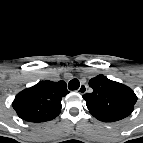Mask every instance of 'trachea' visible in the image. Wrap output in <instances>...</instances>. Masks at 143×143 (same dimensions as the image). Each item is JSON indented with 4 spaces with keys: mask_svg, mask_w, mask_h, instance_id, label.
I'll use <instances>...</instances> for the list:
<instances>
[{
    "mask_svg": "<svg viewBox=\"0 0 143 143\" xmlns=\"http://www.w3.org/2000/svg\"><path fill=\"white\" fill-rule=\"evenodd\" d=\"M80 86L79 80L74 78L68 83L69 90H77Z\"/></svg>",
    "mask_w": 143,
    "mask_h": 143,
    "instance_id": "3493384b",
    "label": "trachea"
}]
</instances>
